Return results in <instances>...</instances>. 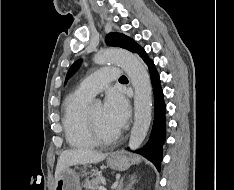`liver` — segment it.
I'll return each mask as SVG.
<instances>
[{
	"mask_svg": "<svg viewBox=\"0 0 234 190\" xmlns=\"http://www.w3.org/2000/svg\"><path fill=\"white\" fill-rule=\"evenodd\" d=\"M107 154L90 149H70L61 153L58 158L55 178L67 167L78 164H95L103 161Z\"/></svg>",
	"mask_w": 234,
	"mask_h": 190,
	"instance_id": "1",
	"label": "liver"
}]
</instances>
